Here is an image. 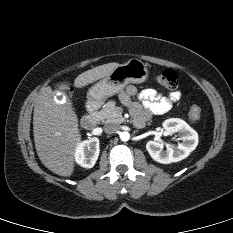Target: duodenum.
Wrapping results in <instances>:
<instances>
[{
  "mask_svg": "<svg viewBox=\"0 0 233 233\" xmlns=\"http://www.w3.org/2000/svg\"><path fill=\"white\" fill-rule=\"evenodd\" d=\"M100 100L93 99L87 104V111L81 118V125L85 129H92L97 122V110L100 106Z\"/></svg>",
  "mask_w": 233,
  "mask_h": 233,
  "instance_id": "410a0bca",
  "label": "duodenum"
}]
</instances>
